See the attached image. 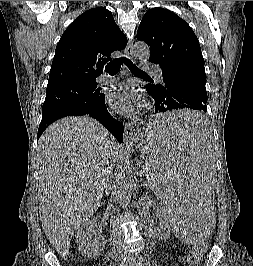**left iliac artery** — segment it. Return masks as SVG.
Wrapping results in <instances>:
<instances>
[{
    "mask_svg": "<svg viewBox=\"0 0 253 266\" xmlns=\"http://www.w3.org/2000/svg\"><path fill=\"white\" fill-rule=\"evenodd\" d=\"M139 261L143 264V266H150L149 263L145 262V259L143 257H139Z\"/></svg>",
    "mask_w": 253,
    "mask_h": 266,
    "instance_id": "obj_1",
    "label": "left iliac artery"
}]
</instances>
